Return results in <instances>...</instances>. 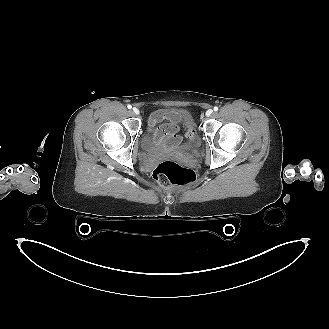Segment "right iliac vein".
Listing matches in <instances>:
<instances>
[{"instance_id": "1", "label": "right iliac vein", "mask_w": 329, "mask_h": 329, "mask_svg": "<svg viewBox=\"0 0 329 329\" xmlns=\"http://www.w3.org/2000/svg\"><path fill=\"white\" fill-rule=\"evenodd\" d=\"M133 112H134L136 115H139V114H140V111H139L137 108H133Z\"/></svg>"}]
</instances>
